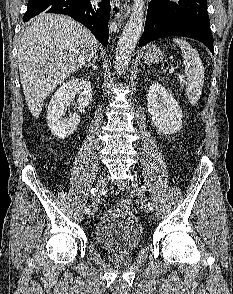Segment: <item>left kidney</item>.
<instances>
[{
  "label": "left kidney",
  "instance_id": "left-kidney-1",
  "mask_svg": "<svg viewBox=\"0 0 233 294\" xmlns=\"http://www.w3.org/2000/svg\"><path fill=\"white\" fill-rule=\"evenodd\" d=\"M147 107L156 129L167 135L182 128V110L174 97L159 83H153L147 93Z\"/></svg>",
  "mask_w": 233,
  "mask_h": 294
}]
</instances>
